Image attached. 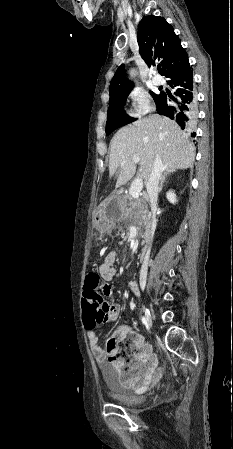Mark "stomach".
Segmentation results:
<instances>
[{
    "instance_id": "stomach-1",
    "label": "stomach",
    "mask_w": 233,
    "mask_h": 449,
    "mask_svg": "<svg viewBox=\"0 0 233 449\" xmlns=\"http://www.w3.org/2000/svg\"><path fill=\"white\" fill-rule=\"evenodd\" d=\"M123 198L115 195L109 198L97 214V225L99 228H111L123 217Z\"/></svg>"
}]
</instances>
